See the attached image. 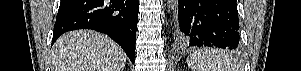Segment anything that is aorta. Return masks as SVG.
<instances>
[{
	"instance_id": "aorta-1",
	"label": "aorta",
	"mask_w": 301,
	"mask_h": 71,
	"mask_svg": "<svg viewBox=\"0 0 301 71\" xmlns=\"http://www.w3.org/2000/svg\"><path fill=\"white\" fill-rule=\"evenodd\" d=\"M174 2V0H168L167 3H168V7L170 8V6H172V3Z\"/></svg>"
}]
</instances>
